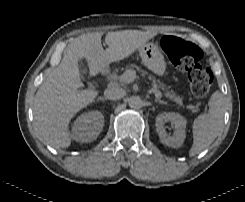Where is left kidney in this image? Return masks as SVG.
<instances>
[{"instance_id":"5707ae66","label":"left kidney","mask_w":245,"mask_h":202,"mask_svg":"<svg viewBox=\"0 0 245 202\" xmlns=\"http://www.w3.org/2000/svg\"><path fill=\"white\" fill-rule=\"evenodd\" d=\"M170 122L174 127L173 135H168L165 131L164 124ZM187 120L185 117L178 113H162L156 117V130L159 135L160 141L166 146L172 148H179L182 146L186 133Z\"/></svg>"}]
</instances>
